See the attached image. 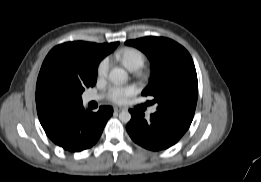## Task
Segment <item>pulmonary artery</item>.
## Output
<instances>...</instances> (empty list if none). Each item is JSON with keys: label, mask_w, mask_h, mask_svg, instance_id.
Returning a JSON list of instances; mask_svg holds the SVG:
<instances>
[{"label": "pulmonary artery", "mask_w": 261, "mask_h": 182, "mask_svg": "<svg viewBox=\"0 0 261 182\" xmlns=\"http://www.w3.org/2000/svg\"><path fill=\"white\" fill-rule=\"evenodd\" d=\"M97 99L98 98L94 95H87L84 100H85V102H91V101H94V100H97ZM155 112H156L155 107L151 108L150 111H149L150 114H153Z\"/></svg>", "instance_id": "pulmonary-artery-1"}]
</instances>
